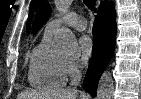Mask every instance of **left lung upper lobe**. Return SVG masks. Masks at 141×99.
I'll return each instance as SVG.
<instances>
[{"instance_id":"5c2ea615","label":"left lung upper lobe","mask_w":141,"mask_h":99,"mask_svg":"<svg viewBox=\"0 0 141 99\" xmlns=\"http://www.w3.org/2000/svg\"><path fill=\"white\" fill-rule=\"evenodd\" d=\"M35 5H36V0H32L31 7H30L29 18H28V27H29L30 21H31L32 16H33Z\"/></svg>"}]
</instances>
